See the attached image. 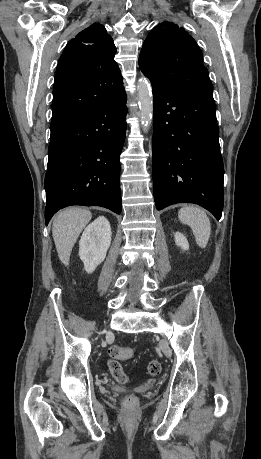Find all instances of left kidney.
Here are the masks:
<instances>
[{
	"label": "left kidney",
	"mask_w": 261,
	"mask_h": 459,
	"mask_svg": "<svg viewBox=\"0 0 261 459\" xmlns=\"http://www.w3.org/2000/svg\"><path fill=\"white\" fill-rule=\"evenodd\" d=\"M175 243L180 246L183 250L189 249V243L187 238L180 232L175 233Z\"/></svg>",
	"instance_id": "5707ae66"
}]
</instances>
